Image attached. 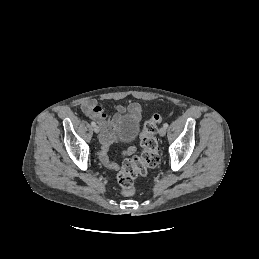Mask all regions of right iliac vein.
I'll return each instance as SVG.
<instances>
[{
    "instance_id": "63e3f726",
    "label": "right iliac vein",
    "mask_w": 259,
    "mask_h": 259,
    "mask_svg": "<svg viewBox=\"0 0 259 259\" xmlns=\"http://www.w3.org/2000/svg\"><path fill=\"white\" fill-rule=\"evenodd\" d=\"M93 130H94L95 133H99L100 128H99V126L96 125V126L93 127Z\"/></svg>"
}]
</instances>
